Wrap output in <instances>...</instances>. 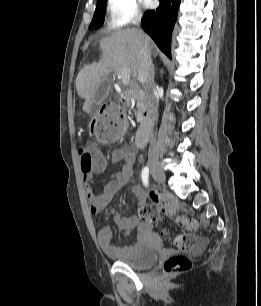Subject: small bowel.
<instances>
[{"mask_svg":"<svg viewBox=\"0 0 261 306\" xmlns=\"http://www.w3.org/2000/svg\"><path fill=\"white\" fill-rule=\"evenodd\" d=\"M113 164L121 163V169L113 173L105 182L103 192L97 193L94 189V176L108 165V161L103 159L97 167L91 171H82V181L84 191L88 200L89 209L92 213H99L106 208L120 192V190L130 181L134 174L135 152L127 146H121L113 150L111 154ZM133 194L138 198L140 204L144 203L146 194L139 185L132 186ZM116 225L129 234L138 224L137 216H115ZM97 241L103 252L111 257H124L132 252V246H118L113 243V231L109 226H102L97 234Z\"/></svg>","mask_w":261,"mask_h":306,"instance_id":"obj_1","label":"small bowel"}]
</instances>
